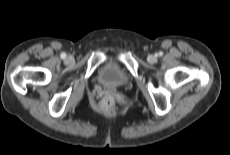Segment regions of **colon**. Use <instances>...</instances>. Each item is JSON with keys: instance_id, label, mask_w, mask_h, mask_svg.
Wrapping results in <instances>:
<instances>
[{"instance_id": "colon-1", "label": "colon", "mask_w": 230, "mask_h": 155, "mask_svg": "<svg viewBox=\"0 0 230 155\" xmlns=\"http://www.w3.org/2000/svg\"><path fill=\"white\" fill-rule=\"evenodd\" d=\"M103 107L108 112H114L116 110L115 103L111 98H106L104 100Z\"/></svg>"}]
</instances>
